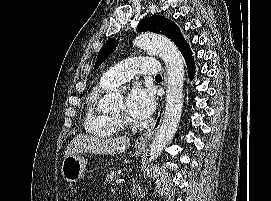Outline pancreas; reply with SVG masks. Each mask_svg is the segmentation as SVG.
Masks as SVG:
<instances>
[{"label": "pancreas", "mask_w": 271, "mask_h": 201, "mask_svg": "<svg viewBox=\"0 0 271 201\" xmlns=\"http://www.w3.org/2000/svg\"><path fill=\"white\" fill-rule=\"evenodd\" d=\"M118 172L111 170L109 174H107V176L105 177V182H112L114 180L118 179Z\"/></svg>", "instance_id": "pancreas-1"}]
</instances>
